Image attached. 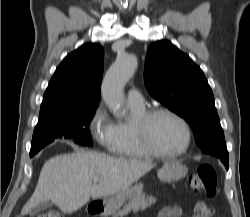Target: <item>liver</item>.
Masks as SVG:
<instances>
[{
    "label": "liver",
    "mask_w": 250,
    "mask_h": 217,
    "mask_svg": "<svg viewBox=\"0 0 250 217\" xmlns=\"http://www.w3.org/2000/svg\"><path fill=\"white\" fill-rule=\"evenodd\" d=\"M153 167L150 162L96 152L55 156L42 167L36 189L21 213L26 215L48 201L64 213H73L90 198L110 197L130 188ZM95 178L100 180L99 184L92 183Z\"/></svg>",
    "instance_id": "obj_1"
}]
</instances>
